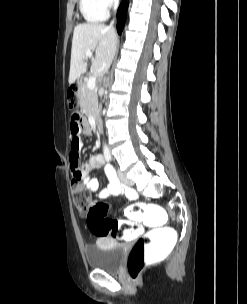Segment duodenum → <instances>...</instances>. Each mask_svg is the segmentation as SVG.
<instances>
[{"mask_svg":"<svg viewBox=\"0 0 247 304\" xmlns=\"http://www.w3.org/2000/svg\"><path fill=\"white\" fill-rule=\"evenodd\" d=\"M83 82H84V79L83 78H79V79H77V81H76V85L78 86V88L81 90L83 87ZM100 116H96L95 117V124H96V126H97V128L100 130L102 127L100 126Z\"/></svg>","mask_w":247,"mask_h":304,"instance_id":"410a0bca","label":"duodenum"}]
</instances>
